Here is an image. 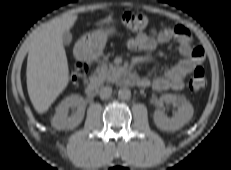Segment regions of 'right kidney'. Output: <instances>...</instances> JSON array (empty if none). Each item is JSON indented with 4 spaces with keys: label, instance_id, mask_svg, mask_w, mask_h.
Returning a JSON list of instances; mask_svg holds the SVG:
<instances>
[{
    "label": "right kidney",
    "instance_id": "obj_1",
    "mask_svg": "<svg viewBox=\"0 0 231 170\" xmlns=\"http://www.w3.org/2000/svg\"><path fill=\"white\" fill-rule=\"evenodd\" d=\"M74 109L73 114L68 117L69 109ZM85 113V101L79 95L66 97L56 108L51 125L58 130L73 129L83 120Z\"/></svg>",
    "mask_w": 231,
    "mask_h": 170
}]
</instances>
